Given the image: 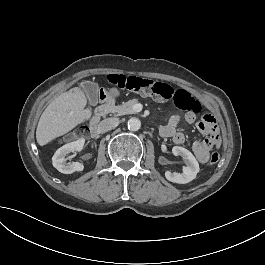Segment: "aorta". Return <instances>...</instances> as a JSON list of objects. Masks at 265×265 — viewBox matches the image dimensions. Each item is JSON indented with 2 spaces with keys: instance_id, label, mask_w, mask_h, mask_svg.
<instances>
[{
  "instance_id": "aorta-1",
  "label": "aorta",
  "mask_w": 265,
  "mask_h": 265,
  "mask_svg": "<svg viewBox=\"0 0 265 265\" xmlns=\"http://www.w3.org/2000/svg\"><path fill=\"white\" fill-rule=\"evenodd\" d=\"M127 127L130 131H138L141 128V121L137 117H132L127 122Z\"/></svg>"
}]
</instances>
